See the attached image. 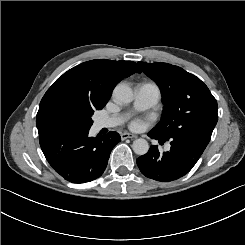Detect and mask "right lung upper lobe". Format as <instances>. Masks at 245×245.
<instances>
[{"label": "right lung upper lobe", "instance_id": "1", "mask_svg": "<svg viewBox=\"0 0 245 245\" xmlns=\"http://www.w3.org/2000/svg\"><path fill=\"white\" fill-rule=\"evenodd\" d=\"M141 70L132 61L105 59L81 63L59 77L42 98L36 116L39 136L56 131L54 109L62 101H87L104 107L118 82Z\"/></svg>", "mask_w": 245, "mask_h": 245}]
</instances>
